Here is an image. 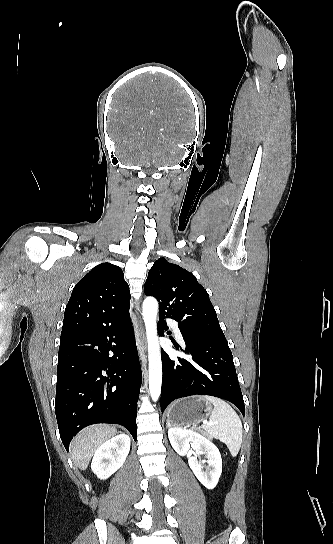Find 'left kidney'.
Masks as SVG:
<instances>
[{"mask_svg":"<svg viewBox=\"0 0 333 544\" xmlns=\"http://www.w3.org/2000/svg\"><path fill=\"white\" fill-rule=\"evenodd\" d=\"M168 437L174 450L179 455H187L190 468L197 479L207 488L213 489L222 473V458L219 449L208 438L201 434L174 427L168 430ZM190 444L197 450L196 456H191ZM204 454L206 457L207 469L198 461L197 456Z\"/></svg>","mask_w":333,"mask_h":544,"instance_id":"5707ae66","label":"left kidney"}]
</instances>
